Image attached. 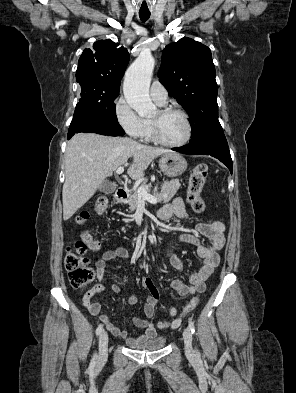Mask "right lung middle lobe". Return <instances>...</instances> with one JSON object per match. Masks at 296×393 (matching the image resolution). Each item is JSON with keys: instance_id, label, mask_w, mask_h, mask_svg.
Here are the masks:
<instances>
[{"instance_id": "1", "label": "right lung middle lobe", "mask_w": 296, "mask_h": 393, "mask_svg": "<svg viewBox=\"0 0 296 393\" xmlns=\"http://www.w3.org/2000/svg\"><path fill=\"white\" fill-rule=\"evenodd\" d=\"M81 98L76 109H86L102 115L110 120H117L116 105L114 103L119 92L103 93L89 88H81Z\"/></svg>"}]
</instances>
